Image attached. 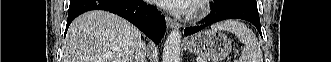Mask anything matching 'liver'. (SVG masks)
Listing matches in <instances>:
<instances>
[{"label":"liver","instance_id":"6515ba94","mask_svg":"<svg viewBox=\"0 0 331 62\" xmlns=\"http://www.w3.org/2000/svg\"><path fill=\"white\" fill-rule=\"evenodd\" d=\"M141 33L127 20L102 10L86 12L71 23L63 62H133Z\"/></svg>","mask_w":331,"mask_h":62}]
</instances>
